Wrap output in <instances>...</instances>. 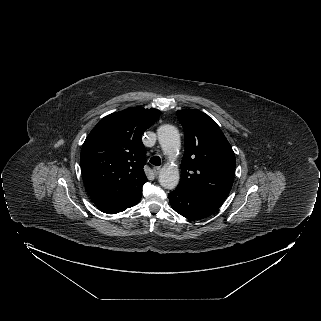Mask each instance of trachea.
<instances>
[{
  "mask_svg": "<svg viewBox=\"0 0 321 321\" xmlns=\"http://www.w3.org/2000/svg\"><path fill=\"white\" fill-rule=\"evenodd\" d=\"M150 163L155 165V166H160L161 165V159L159 156H153L151 159H150Z\"/></svg>",
  "mask_w": 321,
  "mask_h": 321,
  "instance_id": "trachea-1",
  "label": "trachea"
}]
</instances>
